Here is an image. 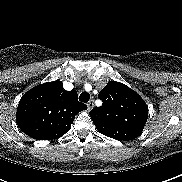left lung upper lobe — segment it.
<instances>
[{"label": "left lung upper lobe", "mask_w": 182, "mask_h": 182, "mask_svg": "<svg viewBox=\"0 0 182 182\" xmlns=\"http://www.w3.org/2000/svg\"><path fill=\"white\" fill-rule=\"evenodd\" d=\"M103 104L89 113L97 130L125 141L141 135L148 119L145 101L134 90L119 82H109L98 95Z\"/></svg>", "instance_id": "left-lung-upper-lobe-1"}]
</instances>
